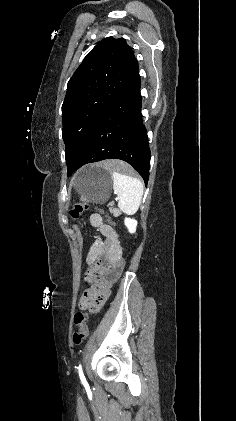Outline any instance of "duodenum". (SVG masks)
<instances>
[{
	"mask_svg": "<svg viewBox=\"0 0 236 421\" xmlns=\"http://www.w3.org/2000/svg\"><path fill=\"white\" fill-rule=\"evenodd\" d=\"M94 261L95 271L100 277V287L92 293V298L103 303L108 297L110 287L122 271L121 252L112 245H98Z\"/></svg>",
	"mask_w": 236,
	"mask_h": 421,
	"instance_id": "410a0bca",
	"label": "duodenum"
}]
</instances>
